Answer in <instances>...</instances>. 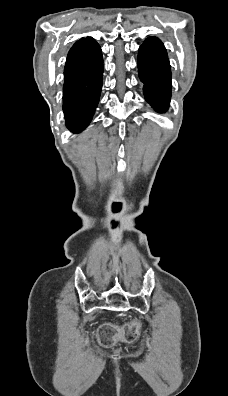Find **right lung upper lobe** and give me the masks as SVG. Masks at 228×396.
Wrapping results in <instances>:
<instances>
[{"label": "right lung upper lobe", "mask_w": 228, "mask_h": 396, "mask_svg": "<svg viewBox=\"0 0 228 396\" xmlns=\"http://www.w3.org/2000/svg\"><path fill=\"white\" fill-rule=\"evenodd\" d=\"M78 43L82 45L92 46L93 44L96 43V41L91 37H87V38H82L81 40L78 41Z\"/></svg>", "instance_id": "cb5924a9"}]
</instances>
